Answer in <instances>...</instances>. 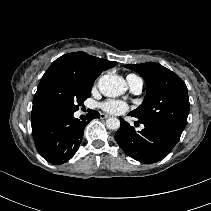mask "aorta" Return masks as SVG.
<instances>
[{
    "label": "aorta",
    "instance_id": "obj_1",
    "mask_svg": "<svg viewBox=\"0 0 211 211\" xmlns=\"http://www.w3.org/2000/svg\"><path fill=\"white\" fill-rule=\"evenodd\" d=\"M98 88L104 96L117 97L127 90V84L120 76L106 74L99 79ZM106 126L109 129L117 130L120 127V120L116 117H111L106 120Z\"/></svg>",
    "mask_w": 211,
    "mask_h": 211
}]
</instances>
